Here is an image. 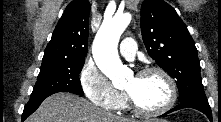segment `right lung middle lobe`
<instances>
[{
	"instance_id": "obj_1",
	"label": "right lung middle lobe",
	"mask_w": 221,
	"mask_h": 122,
	"mask_svg": "<svg viewBox=\"0 0 221 122\" xmlns=\"http://www.w3.org/2000/svg\"><path fill=\"white\" fill-rule=\"evenodd\" d=\"M85 60L42 61L40 73L30 98L57 92L83 95L79 80Z\"/></svg>"
}]
</instances>
